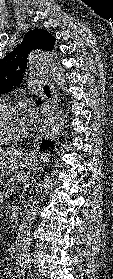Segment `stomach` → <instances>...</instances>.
I'll return each instance as SVG.
<instances>
[{
  "mask_svg": "<svg viewBox=\"0 0 113 279\" xmlns=\"http://www.w3.org/2000/svg\"><path fill=\"white\" fill-rule=\"evenodd\" d=\"M41 156L32 151L11 149L0 151V181L20 169H32L40 165Z\"/></svg>",
  "mask_w": 113,
  "mask_h": 279,
  "instance_id": "stomach-1",
  "label": "stomach"
}]
</instances>
